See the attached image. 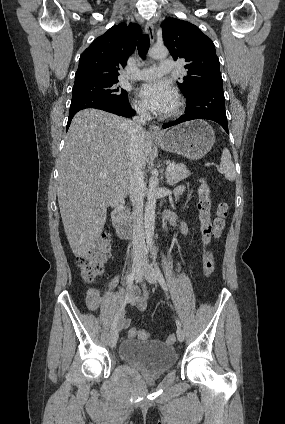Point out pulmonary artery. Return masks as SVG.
<instances>
[{"instance_id":"e3ab8cb5","label":"pulmonary artery","mask_w":285,"mask_h":424,"mask_svg":"<svg viewBox=\"0 0 285 424\" xmlns=\"http://www.w3.org/2000/svg\"><path fill=\"white\" fill-rule=\"evenodd\" d=\"M174 69V61L166 59L161 61L158 67H147L133 74L132 78L137 80H152L161 75L169 74Z\"/></svg>"}]
</instances>
